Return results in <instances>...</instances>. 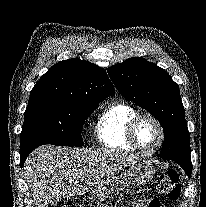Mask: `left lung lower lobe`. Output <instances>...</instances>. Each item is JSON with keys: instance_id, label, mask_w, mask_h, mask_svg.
Instances as JSON below:
<instances>
[{"instance_id": "left-lung-lower-lobe-1", "label": "left lung lower lobe", "mask_w": 206, "mask_h": 207, "mask_svg": "<svg viewBox=\"0 0 206 207\" xmlns=\"http://www.w3.org/2000/svg\"><path fill=\"white\" fill-rule=\"evenodd\" d=\"M180 166L186 171L187 175L190 177L191 176V171H189L186 166H184L183 164H180Z\"/></svg>"}]
</instances>
